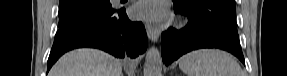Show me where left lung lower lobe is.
I'll list each match as a JSON object with an SVG mask.
<instances>
[{
  "instance_id": "obj_1",
  "label": "left lung lower lobe",
  "mask_w": 287,
  "mask_h": 76,
  "mask_svg": "<svg viewBox=\"0 0 287 76\" xmlns=\"http://www.w3.org/2000/svg\"><path fill=\"white\" fill-rule=\"evenodd\" d=\"M189 23L181 30L169 28L161 35V54L166 65L177 60L183 54L201 48H219L238 57L245 64L237 32H230L223 27L199 15L186 13Z\"/></svg>"
}]
</instances>
